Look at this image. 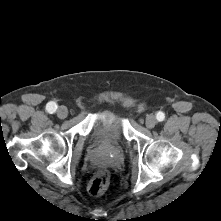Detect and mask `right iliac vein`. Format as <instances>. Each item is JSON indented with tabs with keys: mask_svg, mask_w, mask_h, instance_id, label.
I'll use <instances>...</instances> for the list:
<instances>
[{
	"mask_svg": "<svg viewBox=\"0 0 221 221\" xmlns=\"http://www.w3.org/2000/svg\"><path fill=\"white\" fill-rule=\"evenodd\" d=\"M68 115V109L65 106H60L57 110V116L60 119L66 118Z\"/></svg>",
	"mask_w": 221,
	"mask_h": 221,
	"instance_id": "63e3f726",
	"label": "right iliac vein"
}]
</instances>
